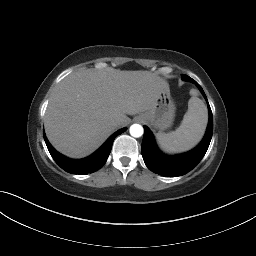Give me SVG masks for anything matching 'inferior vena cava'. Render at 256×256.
Wrapping results in <instances>:
<instances>
[{
  "label": "inferior vena cava",
  "instance_id": "1",
  "mask_svg": "<svg viewBox=\"0 0 256 256\" xmlns=\"http://www.w3.org/2000/svg\"><path fill=\"white\" fill-rule=\"evenodd\" d=\"M113 127H114L115 129H120V128L122 127V122H121L120 120H115V121L113 122Z\"/></svg>",
  "mask_w": 256,
  "mask_h": 256
}]
</instances>
